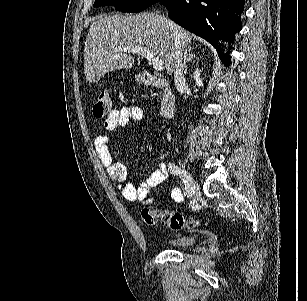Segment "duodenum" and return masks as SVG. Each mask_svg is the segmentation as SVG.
Segmentation results:
<instances>
[{
  "label": "duodenum",
  "mask_w": 307,
  "mask_h": 301,
  "mask_svg": "<svg viewBox=\"0 0 307 301\" xmlns=\"http://www.w3.org/2000/svg\"><path fill=\"white\" fill-rule=\"evenodd\" d=\"M142 78L145 84L155 86L161 90V116L165 119H171L175 114V95L170 89L168 82L148 73L143 74Z\"/></svg>",
  "instance_id": "duodenum-1"
}]
</instances>
